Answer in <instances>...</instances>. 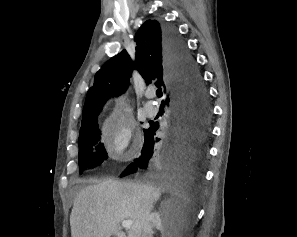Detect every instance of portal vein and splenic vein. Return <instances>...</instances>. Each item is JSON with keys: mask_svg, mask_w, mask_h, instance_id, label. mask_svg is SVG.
<instances>
[{"mask_svg": "<svg viewBox=\"0 0 297 237\" xmlns=\"http://www.w3.org/2000/svg\"><path fill=\"white\" fill-rule=\"evenodd\" d=\"M132 223H133V221H131V220H125V221L122 222V227H123V228L130 229Z\"/></svg>", "mask_w": 297, "mask_h": 237, "instance_id": "portal-vein-and-splenic-vein-1", "label": "portal vein and splenic vein"}]
</instances>
